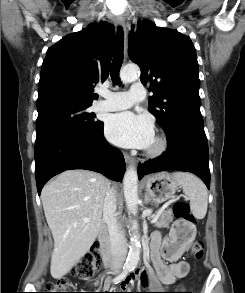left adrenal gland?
<instances>
[{
  "instance_id": "left-adrenal-gland-1",
  "label": "left adrenal gland",
  "mask_w": 245,
  "mask_h": 293,
  "mask_svg": "<svg viewBox=\"0 0 245 293\" xmlns=\"http://www.w3.org/2000/svg\"><path fill=\"white\" fill-rule=\"evenodd\" d=\"M144 202H145V204H148V203L151 202V200H150V198L148 197L147 194H145Z\"/></svg>"
}]
</instances>
